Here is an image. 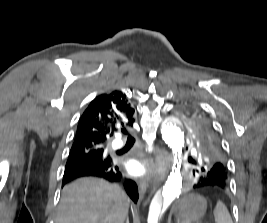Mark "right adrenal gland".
I'll return each instance as SVG.
<instances>
[{
  "label": "right adrenal gland",
  "instance_id": "1",
  "mask_svg": "<svg viewBox=\"0 0 267 223\" xmlns=\"http://www.w3.org/2000/svg\"><path fill=\"white\" fill-rule=\"evenodd\" d=\"M126 223H129V217L127 216V218H126Z\"/></svg>",
  "mask_w": 267,
  "mask_h": 223
}]
</instances>
